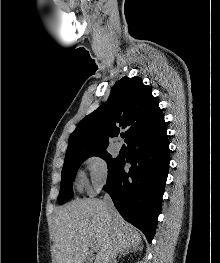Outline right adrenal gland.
Masks as SVG:
<instances>
[{
  "instance_id": "2a0ac1e0",
  "label": "right adrenal gland",
  "mask_w": 220,
  "mask_h": 263,
  "mask_svg": "<svg viewBox=\"0 0 220 263\" xmlns=\"http://www.w3.org/2000/svg\"><path fill=\"white\" fill-rule=\"evenodd\" d=\"M127 254H129V249H128V248L125 249V250H123V251L120 253L119 258H120L121 256H125V255H127Z\"/></svg>"
}]
</instances>
